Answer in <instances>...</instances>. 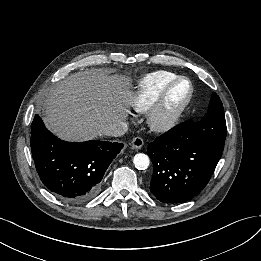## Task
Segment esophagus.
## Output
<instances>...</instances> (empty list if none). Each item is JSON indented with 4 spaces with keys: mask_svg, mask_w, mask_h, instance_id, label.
I'll use <instances>...</instances> for the list:
<instances>
[{
    "mask_svg": "<svg viewBox=\"0 0 261 261\" xmlns=\"http://www.w3.org/2000/svg\"><path fill=\"white\" fill-rule=\"evenodd\" d=\"M131 145L134 149H140L144 145V141L141 137H135L132 139Z\"/></svg>",
    "mask_w": 261,
    "mask_h": 261,
    "instance_id": "esophagus-1",
    "label": "esophagus"
}]
</instances>
